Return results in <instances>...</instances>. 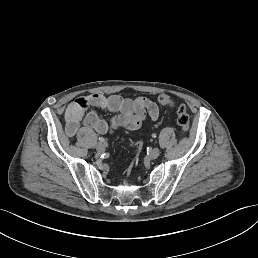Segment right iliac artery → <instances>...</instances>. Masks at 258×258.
Wrapping results in <instances>:
<instances>
[{
	"label": "right iliac artery",
	"instance_id": "82829eb1",
	"mask_svg": "<svg viewBox=\"0 0 258 258\" xmlns=\"http://www.w3.org/2000/svg\"><path fill=\"white\" fill-rule=\"evenodd\" d=\"M100 142H105V139L103 137H99Z\"/></svg>",
	"mask_w": 258,
	"mask_h": 258
}]
</instances>
